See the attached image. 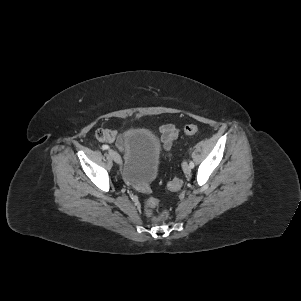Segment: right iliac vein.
<instances>
[{
	"instance_id": "right-iliac-vein-1",
	"label": "right iliac vein",
	"mask_w": 301,
	"mask_h": 301,
	"mask_svg": "<svg viewBox=\"0 0 301 301\" xmlns=\"http://www.w3.org/2000/svg\"><path fill=\"white\" fill-rule=\"evenodd\" d=\"M108 153L117 164L121 165L122 163L121 157L115 150L109 149Z\"/></svg>"
}]
</instances>
